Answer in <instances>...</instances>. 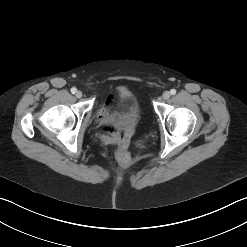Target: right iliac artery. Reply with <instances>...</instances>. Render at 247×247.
Instances as JSON below:
<instances>
[{
	"mask_svg": "<svg viewBox=\"0 0 247 247\" xmlns=\"http://www.w3.org/2000/svg\"><path fill=\"white\" fill-rule=\"evenodd\" d=\"M76 91H77V89H76L75 87L71 88V93H72V94H75Z\"/></svg>",
	"mask_w": 247,
	"mask_h": 247,
	"instance_id": "right-iliac-artery-1",
	"label": "right iliac artery"
}]
</instances>
